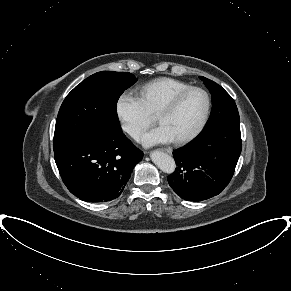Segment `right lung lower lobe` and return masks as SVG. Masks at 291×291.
Returning <instances> with one entry per match:
<instances>
[{
	"label": "right lung lower lobe",
	"mask_w": 291,
	"mask_h": 291,
	"mask_svg": "<svg viewBox=\"0 0 291 291\" xmlns=\"http://www.w3.org/2000/svg\"><path fill=\"white\" fill-rule=\"evenodd\" d=\"M142 157L143 152L122 131L82 136L54 151L64 184L88 202L116 199Z\"/></svg>",
	"instance_id": "98d812e1"
}]
</instances>
